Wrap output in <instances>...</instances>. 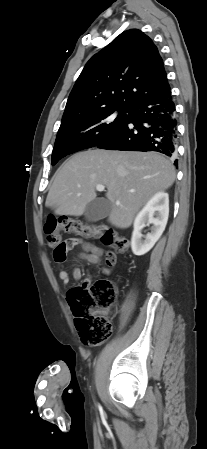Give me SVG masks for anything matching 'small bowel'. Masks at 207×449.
Here are the masks:
<instances>
[{
  "label": "small bowel",
  "instance_id": "obj_1",
  "mask_svg": "<svg viewBox=\"0 0 207 449\" xmlns=\"http://www.w3.org/2000/svg\"><path fill=\"white\" fill-rule=\"evenodd\" d=\"M71 241L73 242L72 248L78 245H81L83 248V251L79 254V259L86 260L89 264L92 265L100 264V256L103 254L102 249L93 246L90 243L84 242L81 239H71ZM110 257L113 259V263L109 264L107 262V265L102 267V273L105 275L110 274L112 268L115 265L116 256L114 255V253L110 251L106 252V260ZM59 276L64 286L69 285L71 281V274L65 269L63 264L59 265ZM72 276L75 280H79L81 278V271L79 267L76 266L73 269Z\"/></svg>",
  "mask_w": 207,
  "mask_h": 449
}]
</instances>
